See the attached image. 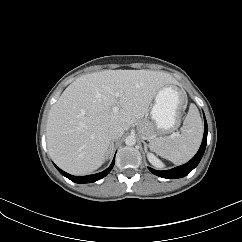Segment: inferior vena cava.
<instances>
[{"label":"inferior vena cava","mask_w":242,"mask_h":242,"mask_svg":"<svg viewBox=\"0 0 242 242\" xmlns=\"http://www.w3.org/2000/svg\"><path fill=\"white\" fill-rule=\"evenodd\" d=\"M124 134V129L120 126H113L109 129V135L112 140L120 138Z\"/></svg>","instance_id":"1"}]
</instances>
